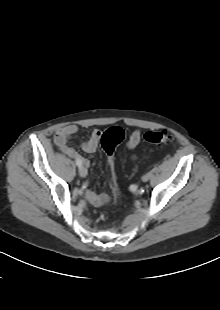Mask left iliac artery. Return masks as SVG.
<instances>
[{
	"label": "left iliac artery",
	"mask_w": 220,
	"mask_h": 310,
	"mask_svg": "<svg viewBox=\"0 0 220 310\" xmlns=\"http://www.w3.org/2000/svg\"><path fill=\"white\" fill-rule=\"evenodd\" d=\"M137 188H138V185H137V184H132V185H130V187H129V189H130L131 192H136Z\"/></svg>",
	"instance_id": "44dca946"
}]
</instances>
